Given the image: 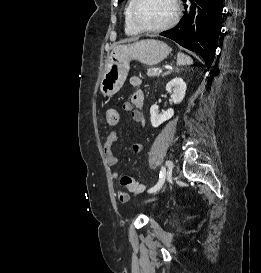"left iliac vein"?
<instances>
[{"mask_svg": "<svg viewBox=\"0 0 261 273\" xmlns=\"http://www.w3.org/2000/svg\"><path fill=\"white\" fill-rule=\"evenodd\" d=\"M164 168H165V176L166 177L170 176L173 171V162L171 160H167Z\"/></svg>", "mask_w": 261, "mask_h": 273, "instance_id": "obj_1", "label": "left iliac vein"}]
</instances>
